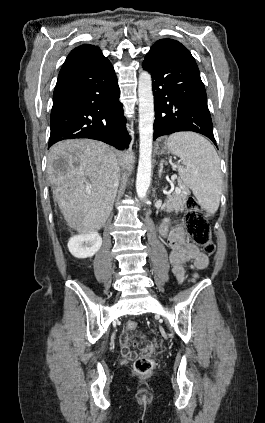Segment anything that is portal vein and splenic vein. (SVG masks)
<instances>
[{
    "label": "portal vein and splenic vein",
    "instance_id": "18ae733b",
    "mask_svg": "<svg viewBox=\"0 0 265 423\" xmlns=\"http://www.w3.org/2000/svg\"><path fill=\"white\" fill-rule=\"evenodd\" d=\"M175 192L180 193L181 192L180 188H176Z\"/></svg>",
    "mask_w": 265,
    "mask_h": 423
}]
</instances>
